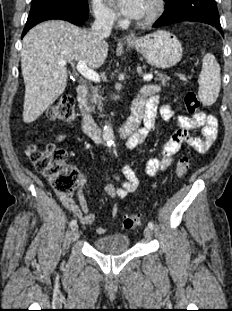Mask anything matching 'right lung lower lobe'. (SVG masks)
Here are the masks:
<instances>
[{
  "label": "right lung lower lobe",
  "instance_id": "obj_1",
  "mask_svg": "<svg viewBox=\"0 0 232 311\" xmlns=\"http://www.w3.org/2000/svg\"><path fill=\"white\" fill-rule=\"evenodd\" d=\"M88 18V12L81 11L72 6L47 4L33 7L30 10L22 37L36 24L51 19L69 21L75 25H81Z\"/></svg>",
  "mask_w": 232,
  "mask_h": 311
}]
</instances>
